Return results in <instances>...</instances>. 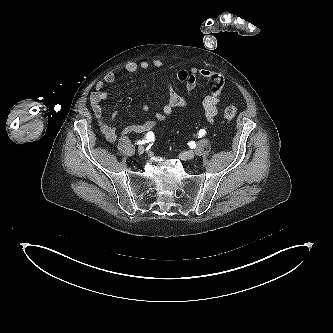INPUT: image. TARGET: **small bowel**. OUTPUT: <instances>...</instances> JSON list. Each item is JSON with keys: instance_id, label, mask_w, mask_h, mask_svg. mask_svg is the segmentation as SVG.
<instances>
[{"instance_id": "1", "label": "small bowel", "mask_w": 333, "mask_h": 333, "mask_svg": "<svg viewBox=\"0 0 333 333\" xmlns=\"http://www.w3.org/2000/svg\"><path fill=\"white\" fill-rule=\"evenodd\" d=\"M151 66L156 69H162L163 63L158 59H155L152 62L142 60L140 62H128L125 64L124 68L127 72L134 73L139 70H146ZM198 78H204L212 84L211 89L203 95L202 108L206 119L210 123H214L218 113V104L226 84V79L223 75L211 69H199L195 67L188 70L180 69L176 73L177 81L183 84L190 92H195ZM115 80V74L113 72H108L103 79L95 85L90 96L91 107L98 120L100 130L106 139L111 142L116 140L118 135L117 130L113 125L103 121L101 104L108 98V93L104 90L105 86L113 84ZM163 85L167 96V102L162 110L156 113V119L158 120H163L175 109L189 108L188 102L175 91L170 79L166 76L163 77ZM142 110L147 112L149 107L144 105ZM154 125V120H149L142 124L128 125L121 130V135L146 133L149 132Z\"/></svg>"}]
</instances>
